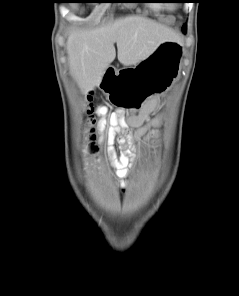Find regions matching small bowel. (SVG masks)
Returning a JSON list of instances; mask_svg holds the SVG:
<instances>
[{"mask_svg": "<svg viewBox=\"0 0 239 296\" xmlns=\"http://www.w3.org/2000/svg\"><path fill=\"white\" fill-rule=\"evenodd\" d=\"M158 104L156 98L149 100L138 113L125 115L122 110H117L108 117L102 118L98 124L100 140L106 125H117L121 133L116 135V141L120 146V155L117 156L114 148L109 144L108 152L111 158L115 175L119 178V185L124 189L127 185L125 178L129 175L135 161V145L144 139L150 129L158 127L163 119L162 115L150 118ZM98 113H104V109H97ZM130 128H135L134 134H130Z\"/></svg>", "mask_w": 239, "mask_h": 296, "instance_id": "small-bowel-1", "label": "small bowel"}]
</instances>
